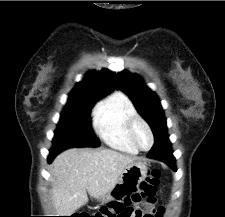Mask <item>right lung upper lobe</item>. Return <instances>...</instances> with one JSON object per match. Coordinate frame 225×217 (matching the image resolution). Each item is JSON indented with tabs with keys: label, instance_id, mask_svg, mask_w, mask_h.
<instances>
[{
	"label": "right lung upper lobe",
	"instance_id": "cb5924a9",
	"mask_svg": "<svg viewBox=\"0 0 225 217\" xmlns=\"http://www.w3.org/2000/svg\"><path fill=\"white\" fill-rule=\"evenodd\" d=\"M116 75L107 69L100 72H89L84 81L78 83L69 95V98L89 96L103 97L115 89Z\"/></svg>",
	"mask_w": 225,
	"mask_h": 217
}]
</instances>
